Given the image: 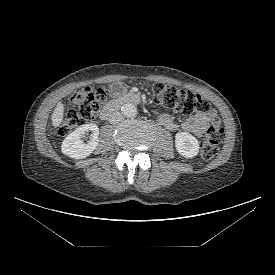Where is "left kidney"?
<instances>
[{
    "mask_svg": "<svg viewBox=\"0 0 275 275\" xmlns=\"http://www.w3.org/2000/svg\"><path fill=\"white\" fill-rule=\"evenodd\" d=\"M176 150L185 158H192L199 152L197 139L187 132H178L175 136Z\"/></svg>",
    "mask_w": 275,
    "mask_h": 275,
    "instance_id": "5707ae66",
    "label": "left kidney"
}]
</instances>
